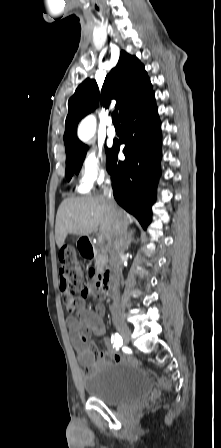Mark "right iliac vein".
<instances>
[{
    "mask_svg": "<svg viewBox=\"0 0 221 448\" xmlns=\"http://www.w3.org/2000/svg\"><path fill=\"white\" fill-rule=\"evenodd\" d=\"M115 325L124 343L127 344L130 341V334H131L128 326L124 324L121 320H116Z\"/></svg>",
    "mask_w": 221,
    "mask_h": 448,
    "instance_id": "right-iliac-vein-1",
    "label": "right iliac vein"
}]
</instances>
